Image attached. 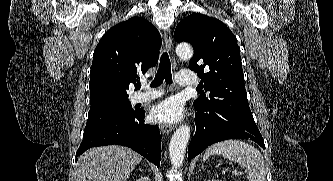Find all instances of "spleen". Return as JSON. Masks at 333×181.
<instances>
[{
  "mask_svg": "<svg viewBox=\"0 0 333 181\" xmlns=\"http://www.w3.org/2000/svg\"><path fill=\"white\" fill-rule=\"evenodd\" d=\"M222 155L248 170V181H265L267 168L263 155L253 146L239 140H226L210 146L203 156Z\"/></svg>",
  "mask_w": 333,
  "mask_h": 181,
  "instance_id": "obj_1",
  "label": "spleen"
}]
</instances>
